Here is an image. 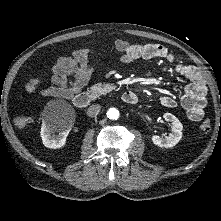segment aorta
<instances>
[{"mask_svg":"<svg viewBox=\"0 0 221 221\" xmlns=\"http://www.w3.org/2000/svg\"><path fill=\"white\" fill-rule=\"evenodd\" d=\"M107 116L109 119H113V120L118 119L119 111L116 108H110L107 111Z\"/></svg>","mask_w":221,"mask_h":221,"instance_id":"obj_1","label":"aorta"}]
</instances>
